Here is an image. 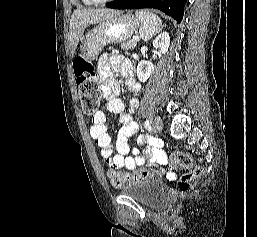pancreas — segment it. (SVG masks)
Segmentation results:
<instances>
[{"instance_id":"1","label":"pancreas","mask_w":257,"mask_h":237,"mask_svg":"<svg viewBox=\"0 0 257 237\" xmlns=\"http://www.w3.org/2000/svg\"><path fill=\"white\" fill-rule=\"evenodd\" d=\"M120 46L123 50H131L137 46V42L134 39H131L127 42L122 43Z\"/></svg>"}]
</instances>
